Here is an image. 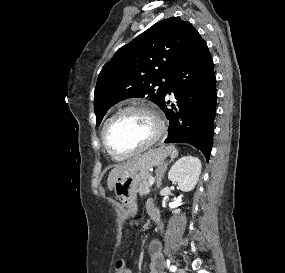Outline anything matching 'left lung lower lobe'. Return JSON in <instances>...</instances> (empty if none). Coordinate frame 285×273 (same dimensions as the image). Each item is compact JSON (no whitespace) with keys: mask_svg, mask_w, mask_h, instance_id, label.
<instances>
[{"mask_svg":"<svg viewBox=\"0 0 285 273\" xmlns=\"http://www.w3.org/2000/svg\"><path fill=\"white\" fill-rule=\"evenodd\" d=\"M173 92L172 109L165 98L159 106L169 120L167 143H189L209 159L216 111V79L205 41L195 29L174 70L167 93Z\"/></svg>","mask_w":285,"mask_h":273,"instance_id":"1","label":"left lung lower lobe"}]
</instances>
